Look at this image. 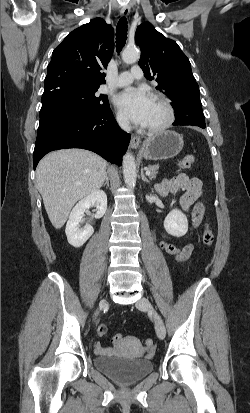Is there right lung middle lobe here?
Returning <instances> with one entry per match:
<instances>
[{
    "label": "right lung middle lobe",
    "instance_id": "obj_1",
    "mask_svg": "<svg viewBox=\"0 0 250 413\" xmlns=\"http://www.w3.org/2000/svg\"><path fill=\"white\" fill-rule=\"evenodd\" d=\"M97 87H85L68 85L56 88L42 96L40 116L48 111L58 108H74L89 111H101L109 109L106 95H98Z\"/></svg>",
    "mask_w": 250,
    "mask_h": 413
}]
</instances>
